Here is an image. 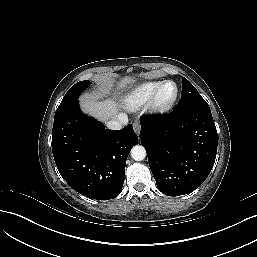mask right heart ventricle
Segmentation results:
<instances>
[{
    "label": "right heart ventricle",
    "instance_id": "obj_1",
    "mask_svg": "<svg viewBox=\"0 0 257 257\" xmlns=\"http://www.w3.org/2000/svg\"><path fill=\"white\" fill-rule=\"evenodd\" d=\"M165 81H154L144 83L122 97V104L133 109L149 101L154 93Z\"/></svg>",
    "mask_w": 257,
    "mask_h": 257
}]
</instances>
